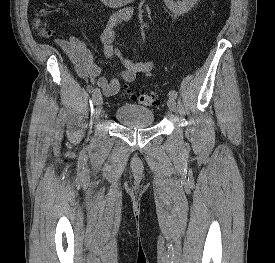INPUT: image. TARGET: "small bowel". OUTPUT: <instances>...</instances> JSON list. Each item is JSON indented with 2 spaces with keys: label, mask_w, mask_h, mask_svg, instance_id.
I'll return each instance as SVG.
<instances>
[{
  "label": "small bowel",
  "mask_w": 275,
  "mask_h": 263,
  "mask_svg": "<svg viewBox=\"0 0 275 263\" xmlns=\"http://www.w3.org/2000/svg\"><path fill=\"white\" fill-rule=\"evenodd\" d=\"M136 13L132 9H122L113 14L100 35L104 55L113 61H118L120 71L118 77L101 75L102 69L94 62L91 50L86 43L74 35L66 39H56L55 42L70 59L78 76L90 82L96 89H101L104 97L109 98L118 93L121 82L131 83L140 74L152 76L155 63L153 61H132L123 55L115 42V28L127 21H132Z\"/></svg>",
  "instance_id": "obj_1"
}]
</instances>
